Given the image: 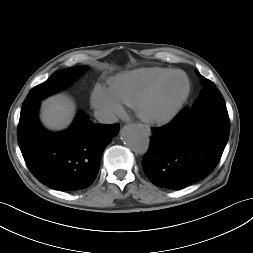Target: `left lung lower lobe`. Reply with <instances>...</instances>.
I'll list each match as a JSON object with an SVG mask.
<instances>
[{
    "label": "left lung lower lobe",
    "mask_w": 253,
    "mask_h": 253,
    "mask_svg": "<svg viewBox=\"0 0 253 253\" xmlns=\"http://www.w3.org/2000/svg\"><path fill=\"white\" fill-rule=\"evenodd\" d=\"M230 121L226 107L181 111L169 124L152 129L142 160L145 175L156 186L178 189L205 178L218 164L227 144Z\"/></svg>",
    "instance_id": "obj_1"
}]
</instances>
